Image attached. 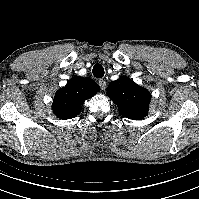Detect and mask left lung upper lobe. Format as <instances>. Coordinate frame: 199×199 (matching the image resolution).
<instances>
[{"label": "left lung upper lobe", "mask_w": 199, "mask_h": 199, "mask_svg": "<svg viewBox=\"0 0 199 199\" xmlns=\"http://www.w3.org/2000/svg\"><path fill=\"white\" fill-rule=\"evenodd\" d=\"M107 95L126 118L143 119L148 114L151 95L145 88L122 76L107 87Z\"/></svg>", "instance_id": "5c2ea615"}]
</instances>
